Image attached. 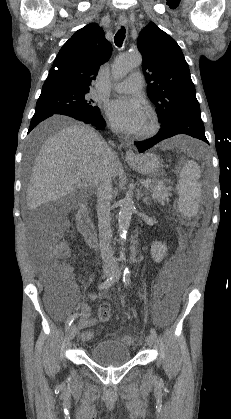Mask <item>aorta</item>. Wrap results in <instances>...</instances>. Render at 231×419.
<instances>
[{"label": "aorta", "mask_w": 231, "mask_h": 419, "mask_svg": "<svg viewBox=\"0 0 231 419\" xmlns=\"http://www.w3.org/2000/svg\"><path fill=\"white\" fill-rule=\"evenodd\" d=\"M142 56L140 53H130L121 55L116 58L113 64V74L116 77L126 76L133 68L141 65ZM134 210V201L131 194H127L121 203V208L118 216V231L120 237H126L130 226L132 213Z\"/></svg>", "instance_id": "1"}]
</instances>
